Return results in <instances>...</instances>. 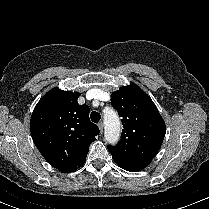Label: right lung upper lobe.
Returning <instances> with one entry per match:
<instances>
[{"label":"right lung upper lobe","instance_id":"cb5924a9","mask_svg":"<svg viewBox=\"0 0 209 209\" xmlns=\"http://www.w3.org/2000/svg\"><path fill=\"white\" fill-rule=\"evenodd\" d=\"M78 93L50 90L34 108L30 121L33 141L53 167L73 172L81 167L99 128L89 119L90 109L79 105Z\"/></svg>","mask_w":209,"mask_h":209}]
</instances>
